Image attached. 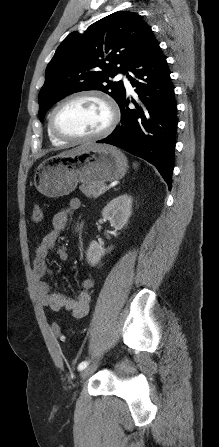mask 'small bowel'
I'll return each mask as SVG.
<instances>
[{
    "label": "small bowel",
    "instance_id": "obj_1",
    "mask_svg": "<svg viewBox=\"0 0 219 447\" xmlns=\"http://www.w3.org/2000/svg\"><path fill=\"white\" fill-rule=\"evenodd\" d=\"M80 206V200L74 198L69 202L67 208L58 211L53 216L52 229L43 236L36 248L32 271L34 291L41 305L53 311L66 310L74 318H83L88 313L93 280L85 278L81 282L75 297H68L52 291L45 277L51 274L47 266V257L51 250L60 260H66L69 257L68 248L65 245L58 244L57 240L60 233L65 229L72 212L78 210Z\"/></svg>",
    "mask_w": 219,
    "mask_h": 447
}]
</instances>
